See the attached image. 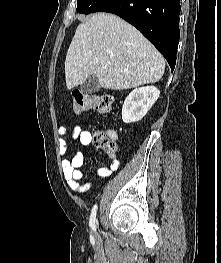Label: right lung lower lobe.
<instances>
[{"instance_id": "obj_1", "label": "right lung lower lobe", "mask_w": 221, "mask_h": 263, "mask_svg": "<svg viewBox=\"0 0 221 263\" xmlns=\"http://www.w3.org/2000/svg\"><path fill=\"white\" fill-rule=\"evenodd\" d=\"M180 10L179 0H105L93 13H113L135 26L166 58L173 71Z\"/></svg>"}]
</instances>
